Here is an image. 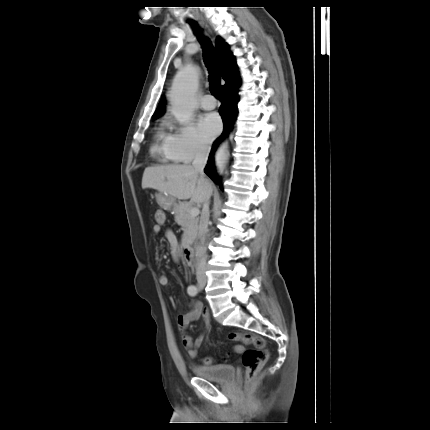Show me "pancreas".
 Masks as SVG:
<instances>
[{"label": "pancreas", "mask_w": 430, "mask_h": 430, "mask_svg": "<svg viewBox=\"0 0 430 430\" xmlns=\"http://www.w3.org/2000/svg\"><path fill=\"white\" fill-rule=\"evenodd\" d=\"M191 208V204L183 202L179 203L174 208L175 221L184 231L182 235V244L191 242L197 234L199 218L190 214Z\"/></svg>", "instance_id": "pancreas-1"}]
</instances>
